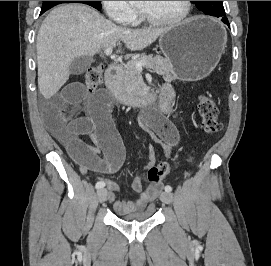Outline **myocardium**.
<instances>
[{
	"label": "myocardium",
	"mask_w": 271,
	"mask_h": 266,
	"mask_svg": "<svg viewBox=\"0 0 271 266\" xmlns=\"http://www.w3.org/2000/svg\"><path fill=\"white\" fill-rule=\"evenodd\" d=\"M192 3L191 1H184L183 13L172 19H157L149 14L145 9L139 7L141 17L150 24L158 26H175L185 22L191 15Z\"/></svg>",
	"instance_id": "obj_1"
}]
</instances>
